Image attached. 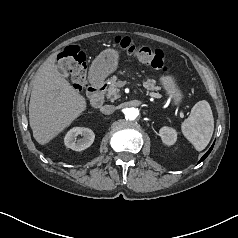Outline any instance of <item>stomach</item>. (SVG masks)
Masks as SVG:
<instances>
[{"instance_id":"1","label":"stomach","mask_w":238,"mask_h":238,"mask_svg":"<svg viewBox=\"0 0 238 238\" xmlns=\"http://www.w3.org/2000/svg\"><path fill=\"white\" fill-rule=\"evenodd\" d=\"M119 54L114 49L102 51L93 61L90 68V80L98 82L105 79L117 69ZM160 83L166 95L171 98L174 105H179L183 99V94L175 79L171 75L160 77Z\"/></svg>"}]
</instances>
